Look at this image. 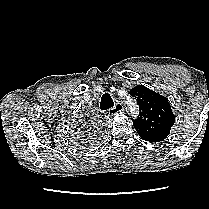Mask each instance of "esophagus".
<instances>
[{
    "label": "esophagus",
    "mask_w": 209,
    "mask_h": 209,
    "mask_svg": "<svg viewBox=\"0 0 209 209\" xmlns=\"http://www.w3.org/2000/svg\"><path fill=\"white\" fill-rule=\"evenodd\" d=\"M123 109H124V107H123L122 103L116 102L115 106L113 108L109 109V114L115 115V114L123 111Z\"/></svg>",
    "instance_id": "1"
}]
</instances>
